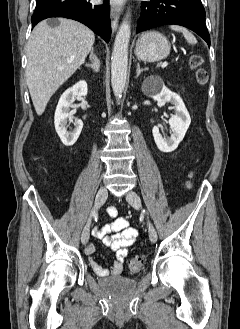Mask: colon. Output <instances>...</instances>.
Returning a JSON list of instances; mask_svg holds the SVG:
<instances>
[{
	"label": "colon",
	"mask_w": 240,
	"mask_h": 329,
	"mask_svg": "<svg viewBox=\"0 0 240 329\" xmlns=\"http://www.w3.org/2000/svg\"><path fill=\"white\" fill-rule=\"evenodd\" d=\"M190 65L193 69L196 70V79L198 83L204 84L207 80V73L205 70L201 69L200 66V59L197 55H192L190 58ZM144 262V257L142 255L135 256L131 259L128 265V269L130 272H137L141 269Z\"/></svg>",
	"instance_id": "colon-1"
}]
</instances>
